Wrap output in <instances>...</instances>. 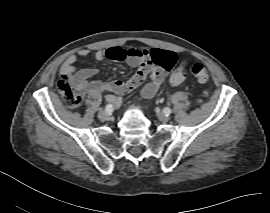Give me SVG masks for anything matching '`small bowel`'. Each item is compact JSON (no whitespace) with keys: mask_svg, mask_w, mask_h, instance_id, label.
Wrapping results in <instances>:
<instances>
[{"mask_svg":"<svg viewBox=\"0 0 270 213\" xmlns=\"http://www.w3.org/2000/svg\"><path fill=\"white\" fill-rule=\"evenodd\" d=\"M116 49H121L119 47H111L108 49H98L95 54L94 58L98 61H103L105 59H109L115 61L112 54L113 51ZM122 50V49H121ZM159 51H166L173 54L175 59L177 60V56L174 52L168 50H161ZM89 55V51L86 49L80 50L77 55L69 56L61 67V74L63 75L65 81L64 84L69 87L76 95L79 97H88L92 94L98 92L103 88V85L97 81H89V77L93 75V69H84L81 71L76 70V62L78 57L86 58ZM146 57L144 56H136V57H128L126 62L131 67H138L145 63ZM145 66L149 70V77L150 81L146 83L142 88V95L145 98L153 97L156 92L158 91L162 81L165 78V72L162 68H158L154 65H150L145 63ZM147 76V75H146ZM146 76H143L140 71L136 72L133 76H131L126 81H114L110 82L105 85L106 88L116 92L117 94H124L131 89L135 88L139 84H141ZM106 102L113 104L114 106L118 105L119 98L113 95H108L105 98Z\"/></svg>","mask_w":270,"mask_h":213,"instance_id":"1","label":"small bowel"}]
</instances>
